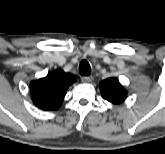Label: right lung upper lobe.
I'll return each instance as SVG.
<instances>
[{
	"mask_svg": "<svg viewBox=\"0 0 165 154\" xmlns=\"http://www.w3.org/2000/svg\"><path fill=\"white\" fill-rule=\"evenodd\" d=\"M76 81L75 77L63 70H56L46 77L30 84L34 104L43 110L58 109L65 97L67 88Z\"/></svg>",
	"mask_w": 165,
	"mask_h": 154,
	"instance_id": "1",
	"label": "right lung upper lobe"
}]
</instances>
